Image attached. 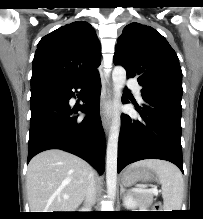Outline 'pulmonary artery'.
Returning <instances> with one entry per match:
<instances>
[{
  "instance_id": "obj_1",
  "label": "pulmonary artery",
  "mask_w": 203,
  "mask_h": 219,
  "mask_svg": "<svg viewBox=\"0 0 203 219\" xmlns=\"http://www.w3.org/2000/svg\"><path fill=\"white\" fill-rule=\"evenodd\" d=\"M127 86L134 90L137 98L141 100L140 86L135 79H128L126 82Z\"/></svg>"
}]
</instances>
